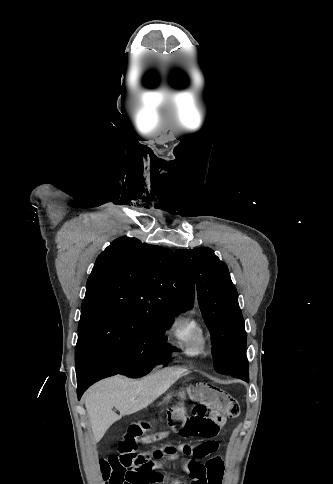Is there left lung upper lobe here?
<instances>
[{
  "label": "left lung upper lobe",
  "mask_w": 333,
  "mask_h": 484,
  "mask_svg": "<svg viewBox=\"0 0 333 484\" xmlns=\"http://www.w3.org/2000/svg\"><path fill=\"white\" fill-rule=\"evenodd\" d=\"M176 252L196 282L199 306L212 337L215 370L248 378V368L234 362V356L246 346V332L227 265L207 247Z\"/></svg>",
  "instance_id": "1"
}]
</instances>
